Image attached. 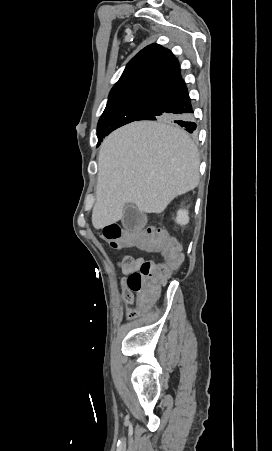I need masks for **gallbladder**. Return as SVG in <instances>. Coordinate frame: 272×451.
<instances>
[{"instance_id":"1","label":"gallbladder","mask_w":272,"mask_h":451,"mask_svg":"<svg viewBox=\"0 0 272 451\" xmlns=\"http://www.w3.org/2000/svg\"><path fill=\"white\" fill-rule=\"evenodd\" d=\"M122 224L126 229H138V227L146 226L147 216L144 212H139L136 206L126 204V206H124Z\"/></svg>"}]
</instances>
